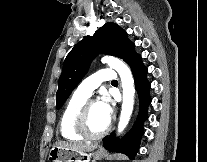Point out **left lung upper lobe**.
Listing matches in <instances>:
<instances>
[{"mask_svg":"<svg viewBox=\"0 0 207 162\" xmlns=\"http://www.w3.org/2000/svg\"><path fill=\"white\" fill-rule=\"evenodd\" d=\"M99 53L122 58L128 64L138 56L126 32L115 23H106L93 37L77 43L67 55L58 82L56 109L61 108Z\"/></svg>","mask_w":207,"mask_h":162,"instance_id":"1","label":"left lung upper lobe"}]
</instances>
